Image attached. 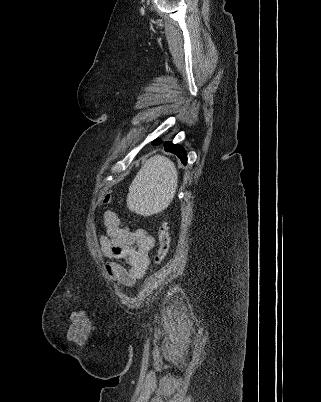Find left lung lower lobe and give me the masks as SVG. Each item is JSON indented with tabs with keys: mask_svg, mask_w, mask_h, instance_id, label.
<instances>
[{
	"mask_svg": "<svg viewBox=\"0 0 321 402\" xmlns=\"http://www.w3.org/2000/svg\"><path fill=\"white\" fill-rule=\"evenodd\" d=\"M160 143H161V141L159 139H156L153 141L154 145H157ZM164 149L168 152H171V153H174L175 155H177L184 165L187 164L186 152L180 145L172 144L171 142H165Z\"/></svg>",
	"mask_w": 321,
	"mask_h": 402,
	"instance_id": "1",
	"label": "left lung lower lobe"
}]
</instances>
